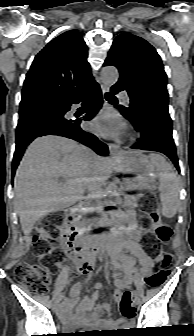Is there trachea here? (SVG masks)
Returning a JSON list of instances; mask_svg holds the SVG:
<instances>
[{"label":"trachea","instance_id":"obj_1","mask_svg":"<svg viewBox=\"0 0 194 336\" xmlns=\"http://www.w3.org/2000/svg\"><path fill=\"white\" fill-rule=\"evenodd\" d=\"M105 98L109 101V100H116V97L113 96L112 94L110 93H106L105 94Z\"/></svg>","mask_w":194,"mask_h":336}]
</instances>
